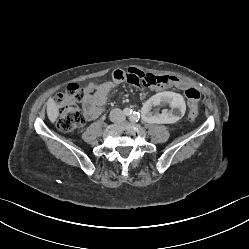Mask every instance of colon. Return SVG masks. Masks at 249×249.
Instances as JSON below:
<instances>
[{
    "mask_svg": "<svg viewBox=\"0 0 249 249\" xmlns=\"http://www.w3.org/2000/svg\"><path fill=\"white\" fill-rule=\"evenodd\" d=\"M174 83L184 90L189 104V119L196 121L199 116L200 93L197 89L190 87L185 81L170 76H156L144 73L143 88H157L166 84ZM131 84V83H130ZM86 96L85 88L72 83L64 92L56 95L54 102L58 109V127L68 133L80 130L85 124V116L78 108L77 103Z\"/></svg>",
    "mask_w": 249,
    "mask_h": 249,
    "instance_id": "5ec220e1",
    "label": "colon"
}]
</instances>
